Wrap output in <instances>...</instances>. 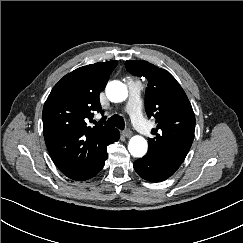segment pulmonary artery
<instances>
[{"instance_id":"1","label":"pulmonary artery","mask_w":243,"mask_h":243,"mask_svg":"<svg viewBox=\"0 0 243 243\" xmlns=\"http://www.w3.org/2000/svg\"><path fill=\"white\" fill-rule=\"evenodd\" d=\"M129 99L125 107V111L130 115L131 120L136 129L143 135L148 136L150 134V128L143 118L141 112V84L132 80L128 81Z\"/></svg>"}]
</instances>
